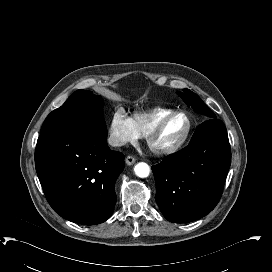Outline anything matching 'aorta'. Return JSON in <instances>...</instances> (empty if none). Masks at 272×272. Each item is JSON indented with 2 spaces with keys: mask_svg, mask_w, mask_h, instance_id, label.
Segmentation results:
<instances>
[{
  "mask_svg": "<svg viewBox=\"0 0 272 272\" xmlns=\"http://www.w3.org/2000/svg\"><path fill=\"white\" fill-rule=\"evenodd\" d=\"M135 174L140 178H145L149 176L150 173V167L146 163H138L134 167Z\"/></svg>",
  "mask_w": 272,
  "mask_h": 272,
  "instance_id": "1",
  "label": "aorta"
}]
</instances>
